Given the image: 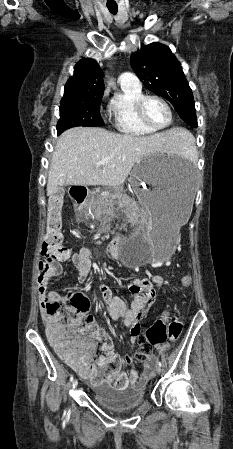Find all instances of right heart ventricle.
Returning <instances> with one entry per match:
<instances>
[{
    "instance_id": "e07e8e85",
    "label": "right heart ventricle",
    "mask_w": 233,
    "mask_h": 449,
    "mask_svg": "<svg viewBox=\"0 0 233 449\" xmlns=\"http://www.w3.org/2000/svg\"><path fill=\"white\" fill-rule=\"evenodd\" d=\"M120 85L121 91L108 105L114 127L122 134L132 137H146L155 133L143 126L136 116V103L144 95L142 87Z\"/></svg>"
}]
</instances>
